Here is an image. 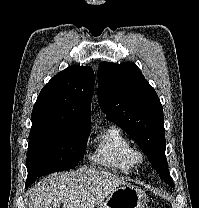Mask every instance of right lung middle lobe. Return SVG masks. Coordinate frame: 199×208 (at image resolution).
<instances>
[{"label": "right lung middle lobe", "mask_w": 199, "mask_h": 208, "mask_svg": "<svg viewBox=\"0 0 199 208\" xmlns=\"http://www.w3.org/2000/svg\"><path fill=\"white\" fill-rule=\"evenodd\" d=\"M90 130L88 124L61 125L32 121L26 182L33 183L40 175L75 167L84 155Z\"/></svg>", "instance_id": "obj_1"}]
</instances>
